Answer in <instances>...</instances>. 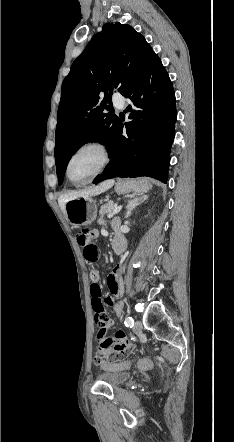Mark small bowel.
I'll list each match as a JSON object with an SVG mask.
<instances>
[{"label": "small bowel", "instance_id": "obj_1", "mask_svg": "<svg viewBox=\"0 0 234 442\" xmlns=\"http://www.w3.org/2000/svg\"><path fill=\"white\" fill-rule=\"evenodd\" d=\"M118 221L113 222L114 227H118ZM98 233L93 231L92 238L97 237ZM123 270L122 264H118L107 277V285L111 293L108 299V306H110L115 315H119L122 311V302L119 297L124 290L123 278L121 276ZM92 287V285H91ZM113 325V321L110 319L109 314H95L94 326L98 328L96 331V342L98 344L99 355L96 357L97 361H106L109 359L113 361L117 359H127L128 355H133L136 351V346L130 344L127 341V336L123 331H117L113 337L105 338L104 334L107 329ZM141 361V360H140Z\"/></svg>", "mask_w": 234, "mask_h": 442}]
</instances>
